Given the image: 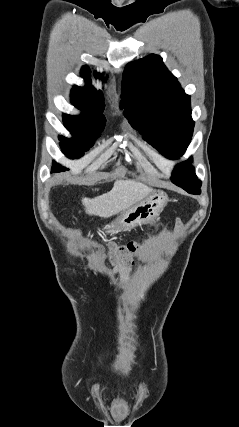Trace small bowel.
Masks as SVG:
<instances>
[{
  "instance_id": "1",
  "label": "small bowel",
  "mask_w": 239,
  "mask_h": 427,
  "mask_svg": "<svg viewBox=\"0 0 239 427\" xmlns=\"http://www.w3.org/2000/svg\"><path fill=\"white\" fill-rule=\"evenodd\" d=\"M118 272H120L121 274H126L127 273V270L125 269V268H123V267H120V268H118Z\"/></svg>"
}]
</instances>
